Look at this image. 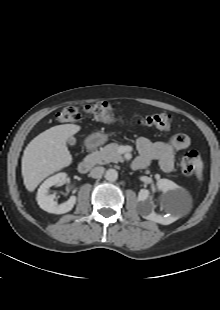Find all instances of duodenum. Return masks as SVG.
<instances>
[{
  "label": "duodenum",
  "instance_id": "duodenum-1",
  "mask_svg": "<svg viewBox=\"0 0 220 310\" xmlns=\"http://www.w3.org/2000/svg\"><path fill=\"white\" fill-rule=\"evenodd\" d=\"M94 162L95 161L93 158H87L82 160L78 165L79 172L83 174L88 173L92 169Z\"/></svg>",
  "mask_w": 220,
  "mask_h": 310
}]
</instances>
